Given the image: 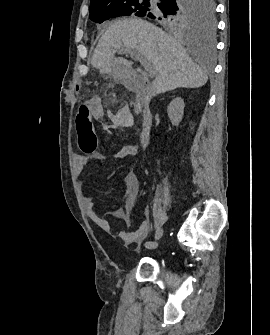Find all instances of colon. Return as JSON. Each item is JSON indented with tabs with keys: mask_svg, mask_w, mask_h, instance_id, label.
Masks as SVG:
<instances>
[{
	"mask_svg": "<svg viewBox=\"0 0 270 335\" xmlns=\"http://www.w3.org/2000/svg\"><path fill=\"white\" fill-rule=\"evenodd\" d=\"M76 123H78L77 133L85 134L84 141H79V148H83V153L91 155L96 152L98 146V139L93 131V116H89L88 110L76 111Z\"/></svg>",
	"mask_w": 270,
	"mask_h": 335,
	"instance_id": "colon-1",
	"label": "colon"
}]
</instances>
